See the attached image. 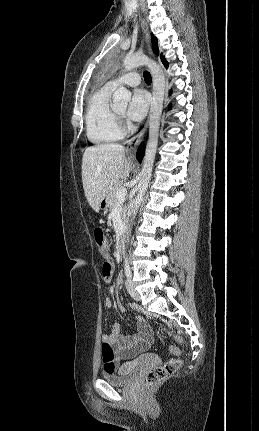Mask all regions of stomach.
Listing matches in <instances>:
<instances>
[{
    "mask_svg": "<svg viewBox=\"0 0 259 431\" xmlns=\"http://www.w3.org/2000/svg\"><path fill=\"white\" fill-rule=\"evenodd\" d=\"M109 207L108 196H106L99 204V209L106 210Z\"/></svg>",
    "mask_w": 259,
    "mask_h": 431,
    "instance_id": "obj_1",
    "label": "stomach"
}]
</instances>
